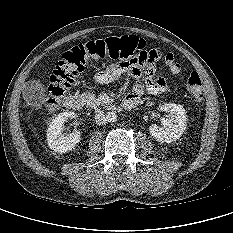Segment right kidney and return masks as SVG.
<instances>
[{
	"label": "right kidney",
	"mask_w": 233,
	"mask_h": 233,
	"mask_svg": "<svg viewBox=\"0 0 233 233\" xmlns=\"http://www.w3.org/2000/svg\"><path fill=\"white\" fill-rule=\"evenodd\" d=\"M76 117L74 112L66 111L52 120L47 129V142L50 149L58 153H65L74 149L80 142L81 135L77 130L66 136L62 134L65 122Z\"/></svg>",
	"instance_id": "ca27d5eb"
}]
</instances>
